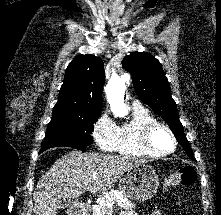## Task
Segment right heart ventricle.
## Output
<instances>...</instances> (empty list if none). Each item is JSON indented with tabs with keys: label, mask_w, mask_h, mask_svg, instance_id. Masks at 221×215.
<instances>
[{
	"label": "right heart ventricle",
	"mask_w": 221,
	"mask_h": 215,
	"mask_svg": "<svg viewBox=\"0 0 221 215\" xmlns=\"http://www.w3.org/2000/svg\"><path fill=\"white\" fill-rule=\"evenodd\" d=\"M159 123L158 119L144 107H135L131 119L118 127L115 151L129 156H156L142 143V135L147 127Z\"/></svg>",
	"instance_id": "right-heart-ventricle-1"
}]
</instances>
